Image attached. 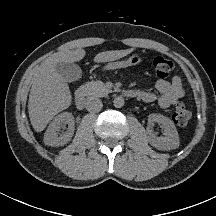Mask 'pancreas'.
<instances>
[{"mask_svg": "<svg viewBox=\"0 0 216 216\" xmlns=\"http://www.w3.org/2000/svg\"><path fill=\"white\" fill-rule=\"evenodd\" d=\"M88 94L94 97H104L112 90L108 89L107 86L100 80L87 82L85 84Z\"/></svg>", "mask_w": 216, "mask_h": 216, "instance_id": "cf45deb5", "label": "pancreas"}]
</instances>
